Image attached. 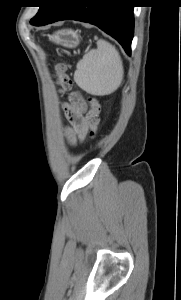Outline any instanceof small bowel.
I'll return each instance as SVG.
<instances>
[{
    "instance_id": "obj_1",
    "label": "small bowel",
    "mask_w": 181,
    "mask_h": 300,
    "mask_svg": "<svg viewBox=\"0 0 181 300\" xmlns=\"http://www.w3.org/2000/svg\"><path fill=\"white\" fill-rule=\"evenodd\" d=\"M85 109L84 104L78 108H73L72 114L69 116L71 119L72 127L68 129L67 136L71 143L75 144L77 141L84 139L87 132V124L82 115Z\"/></svg>"
}]
</instances>
